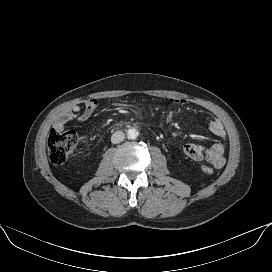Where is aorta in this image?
Wrapping results in <instances>:
<instances>
[{
    "instance_id": "1",
    "label": "aorta",
    "mask_w": 272,
    "mask_h": 272,
    "mask_svg": "<svg viewBox=\"0 0 272 272\" xmlns=\"http://www.w3.org/2000/svg\"><path fill=\"white\" fill-rule=\"evenodd\" d=\"M127 137L129 139H136L138 137V131L135 128H131L127 131Z\"/></svg>"
}]
</instances>
